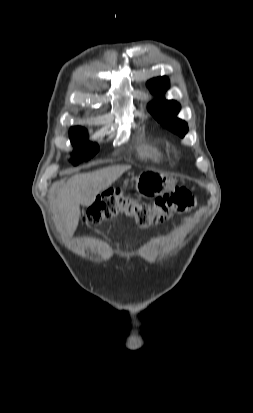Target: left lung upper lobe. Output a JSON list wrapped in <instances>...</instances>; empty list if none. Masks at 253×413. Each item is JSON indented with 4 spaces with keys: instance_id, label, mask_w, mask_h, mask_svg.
Here are the masks:
<instances>
[{
    "instance_id": "5c2ea615",
    "label": "left lung upper lobe",
    "mask_w": 253,
    "mask_h": 413,
    "mask_svg": "<svg viewBox=\"0 0 253 413\" xmlns=\"http://www.w3.org/2000/svg\"><path fill=\"white\" fill-rule=\"evenodd\" d=\"M147 85L150 91L158 96L149 103V112L165 128L184 137L188 131L187 123L176 117L180 105L174 100L167 101L162 96L169 87V80L166 77H158L150 80Z\"/></svg>"
}]
</instances>
